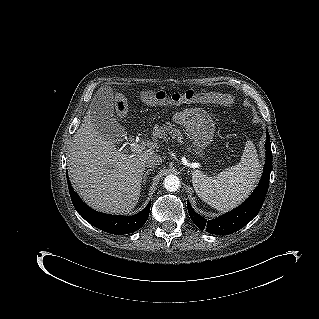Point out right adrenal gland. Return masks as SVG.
Segmentation results:
<instances>
[{"instance_id":"1","label":"right adrenal gland","mask_w":319,"mask_h":319,"mask_svg":"<svg viewBox=\"0 0 319 319\" xmlns=\"http://www.w3.org/2000/svg\"><path fill=\"white\" fill-rule=\"evenodd\" d=\"M150 171H152V169H148V170L144 173V176H143V184H144V185L146 184L147 175L149 174Z\"/></svg>"}]
</instances>
